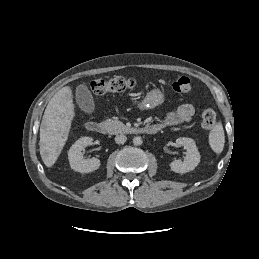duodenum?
Returning <instances> with one entry per match:
<instances>
[{"instance_id": "duodenum-1", "label": "duodenum", "mask_w": 259, "mask_h": 259, "mask_svg": "<svg viewBox=\"0 0 259 259\" xmlns=\"http://www.w3.org/2000/svg\"><path fill=\"white\" fill-rule=\"evenodd\" d=\"M86 129L89 132L96 133V134H105L106 127L104 124L97 122V121H89L86 123ZM160 130V126L158 124H149L143 127L136 129L137 133L141 134H155Z\"/></svg>"}]
</instances>
